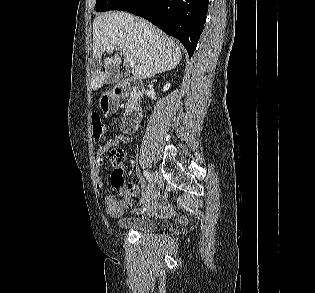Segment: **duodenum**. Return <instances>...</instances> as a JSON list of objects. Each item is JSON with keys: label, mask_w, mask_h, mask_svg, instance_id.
I'll return each mask as SVG.
<instances>
[{"label": "duodenum", "mask_w": 315, "mask_h": 293, "mask_svg": "<svg viewBox=\"0 0 315 293\" xmlns=\"http://www.w3.org/2000/svg\"><path fill=\"white\" fill-rule=\"evenodd\" d=\"M113 92H119L121 98L125 96L136 98L141 93V90L133 83L127 81L118 85ZM142 115L143 111L140 104L137 100H133L122 119L121 130L127 134L134 132L141 122Z\"/></svg>", "instance_id": "410a0bca"}]
</instances>
